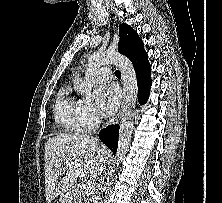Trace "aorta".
<instances>
[{"label":"aorta","instance_id":"1","mask_svg":"<svg viewBox=\"0 0 222 203\" xmlns=\"http://www.w3.org/2000/svg\"><path fill=\"white\" fill-rule=\"evenodd\" d=\"M104 64H113L118 67L123 79V109L119 129L118 149L116 153L117 165L121 162L128 151L132 131L134 127V109L136 106L138 85L135 69L130 60L118 53L106 51L94 53L87 65L83 81L75 83V89L86 98L92 97V87L95 71Z\"/></svg>","mask_w":222,"mask_h":203}]
</instances>
